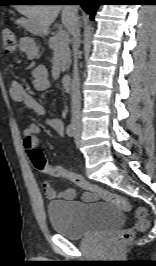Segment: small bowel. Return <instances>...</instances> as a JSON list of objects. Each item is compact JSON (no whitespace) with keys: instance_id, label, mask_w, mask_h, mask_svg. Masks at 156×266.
Returning a JSON list of instances; mask_svg holds the SVG:
<instances>
[{"instance_id":"obj_1","label":"small bowel","mask_w":156,"mask_h":266,"mask_svg":"<svg viewBox=\"0 0 156 266\" xmlns=\"http://www.w3.org/2000/svg\"><path fill=\"white\" fill-rule=\"evenodd\" d=\"M20 50L27 55L28 58H34L37 55L38 47L35 41L30 37H23L20 40ZM33 84L39 91L47 90L50 86L48 70L45 66H38L33 71ZM9 94L13 101L22 104L18 107V113L23 112V106L32 110L37 115H45L44 106L33 96L28 94L24 87L17 80H11L9 83ZM48 125L54 129L58 135H63L64 125L62 121L57 119H48ZM40 133V127L35 123L28 124L23 131V146L27 153L38 148L39 140L37 135ZM44 192L49 199L73 200L76 197V190L67 187L61 191H57L54 183L47 179L43 184ZM82 198L86 202L97 200V196L85 192Z\"/></svg>"}]
</instances>
